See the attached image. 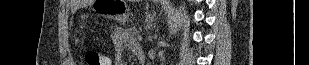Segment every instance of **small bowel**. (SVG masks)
Here are the masks:
<instances>
[{"label":"small bowel","instance_id":"c3829d8e","mask_svg":"<svg viewBox=\"0 0 309 65\" xmlns=\"http://www.w3.org/2000/svg\"><path fill=\"white\" fill-rule=\"evenodd\" d=\"M113 43L115 47V57L114 59H111L110 57L105 56L106 63L104 65H125L122 61L124 48L127 47L135 52L137 47H141V44L132 31L121 27L118 28V31L114 36Z\"/></svg>","mask_w":309,"mask_h":65}]
</instances>
